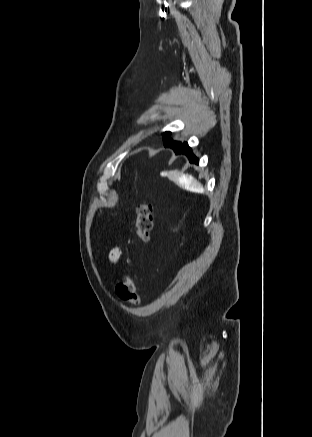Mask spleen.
Here are the masks:
<instances>
[{"label": "spleen", "mask_w": 312, "mask_h": 437, "mask_svg": "<svg viewBox=\"0 0 312 437\" xmlns=\"http://www.w3.org/2000/svg\"><path fill=\"white\" fill-rule=\"evenodd\" d=\"M170 178L187 190L198 192V193L204 192L201 183L196 181L192 176H188V175L177 176L171 174Z\"/></svg>", "instance_id": "spleen-1"}]
</instances>
